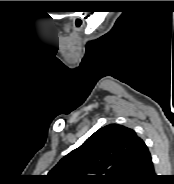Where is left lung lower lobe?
Wrapping results in <instances>:
<instances>
[{
  "mask_svg": "<svg viewBox=\"0 0 174 184\" xmlns=\"http://www.w3.org/2000/svg\"><path fill=\"white\" fill-rule=\"evenodd\" d=\"M155 172L149 150L141 140L137 152L130 164L127 178L122 184H151Z\"/></svg>",
  "mask_w": 174,
  "mask_h": 184,
  "instance_id": "1",
  "label": "left lung lower lobe"
}]
</instances>
